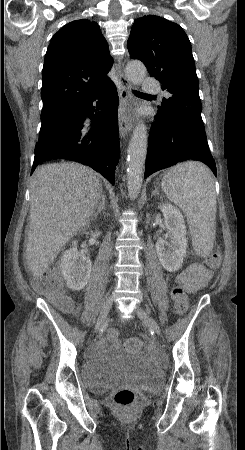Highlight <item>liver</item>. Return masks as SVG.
Segmentation results:
<instances>
[{
    "label": "liver",
    "instance_id": "6515ba94",
    "mask_svg": "<svg viewBox=\"0 0 245 450\" xmlns=\"http://www.w3.org/2000/svg\"><path fill=\"white\" fill-rule=\"evenodd\" d=\"M102 185L78 163H53L36 169L31 185L28 269L35 277L47 271L65 244L95 213Z\"/></svg>",
    "mask_w": 245,
    "mask_h": 450
}]
</instances>
